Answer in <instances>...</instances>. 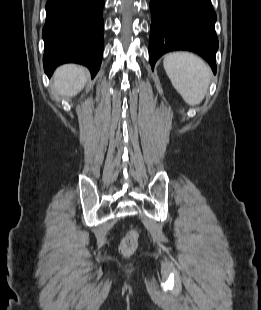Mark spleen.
I'll list each match as a JSON object with an SVG mask.
<instances>
[{
  "mask_svg": "<svg viewBox=\"0 0 261 310\" xmlns=\"http://www.w3.org/2000/svg\"><path fill=\"white\" fill-rule=\"evenodd\" d=\"M163 66L173 87L187 104L194 106L202 102L212 72L201 58L188 52H173L164 56Z\"/></svg>",
  "mask_w": 261,
  "mask_h": 310,
  "instance_id": "obj_1",
  "label": "spleen"
}]
</instances>
